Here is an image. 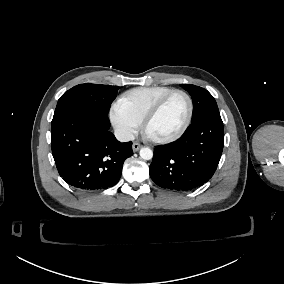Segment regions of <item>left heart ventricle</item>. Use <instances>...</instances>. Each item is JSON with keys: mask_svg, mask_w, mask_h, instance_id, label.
<instances>
[{"mask_svg": "<svg viewBox=\"0 0 284 284\" xmlns=\"http://www.w3.org/2000/svg\"><path fill=\"white\" fill-rule=\"evenodd\" d=\"M188 110L186 97L181 93L173 95L149 124L148 135L159 139L172 136L185 122Z\"/></svg>", "mask_w": 284, "mask_h": 284, "instance_id": "1", "label": "left heart ventricle"}]
</instances>
